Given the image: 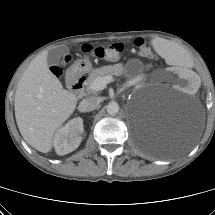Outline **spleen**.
Returning a JSON list of instances; mask_svg holds the SVG:
<instances>
[{"instance_id":"3e777b00","label":"spleen","mask_w":215,"mask_h":215,"mask_svg":"<svg viewBox=\"0 0 215 215\" xmlns=\"http://www.w3.org/2000/svg\"><path fill=\"white\" fill-rule=\"evenodd\" d=\"M148 46L152 48L153 53L167 64L172 66L190 69L192 67V57L187 53L183 46L175 45L167 39H158L150 37Z\"/></svg>"}]
</instances>
